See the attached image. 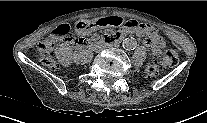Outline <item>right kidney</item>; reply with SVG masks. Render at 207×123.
I'll use <instances>...</instances> for the list:
<instances>
[{
  "label": "right kidney",
  "mask_w": 207,
  "mask_h": 123,
  "mask_svg": "<svg viewBox=\"0 0 207 123\" xmlns=\"http://www.w3.org/2000/svg\"><path fill=\"white\" fill-rule=\"evenodd\" d=\"M57 58L64 66H70L72 63L71 54L65 52L62 48H59L56 52Z\"/></svg>",
  "instance_id": "1"
}]
</instances>
